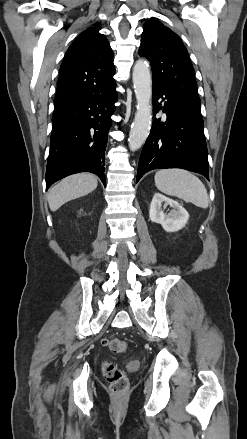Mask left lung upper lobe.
<instances>
[{"label": "left lung upper lobe", "instance_id": "1", "mask_svg": "<svg viewBox=\"0 0 247 439\" xmlns=\"http://www.w3.org/2000/svg\"><path fill=\"white\" fill-rule=\"evenodd\" d=\"M139 55L150 61L153 86L180 96L200 108L193 65L177 34L156 19L144 24Z\"/></svg>", "mask_w": 247, "mask_h": 439}]
</instances>
